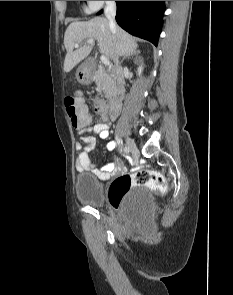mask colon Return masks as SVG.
Masks as SVG:
<instances>
[{
	"mask_svg": "<svg viewBox=\"0 0 233 295\" xmlns=\"http://www.w3.org/2000/svg\"><path fill=\"white\" fill-rule=\"evenodd\" d=\"M65 107L73 127L82 128L90 124L91 119L80 94L67 96L65 98ZM137 186L164 190L166 181L161 173L148 169H142L131 174H122L110 184V204L116 209L120 208L130 191Z\"/></svg>",
	"mask_w": 233,
	"mask_h": 295,
	"instance_id": "obj_1",
	"label": "colon"
}]
</instances>
